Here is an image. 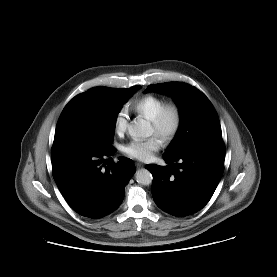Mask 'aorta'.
Listing matches in <instances>:
<instances>
[{"label":"aorta","instance_id":"1","mask_svg":"<svg viewBox=\"0 0 277 277\" xmlns=\"http://www.w3.org/2000/svg\"><path fill=\"white\" fill-rule=\"evenodd\" d=\"M128 132L134 139L149 137L151 135V126L147 121L138 119L128 126ZM135 178L142 185H149L152 182V174L147 169L138 170Z\"/></svg>","mask_w":277,"mask_h":277}]
</instances>
